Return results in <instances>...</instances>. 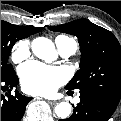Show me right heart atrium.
Masks as SVG:
<instances>
[{
  "label": "right heart atrium",
  "mask_w": 121,
  "mask_h": 121,
  "mask_svg": "<svg viewBox=\"0 0 121 121\" xmlns=\"http://www.w3.org/2000/svg\"><path fill=\"white\" fill-rule=\"evenodd\" d=\"M30 44L27 40H20L15 43L12 50V60L15 63H19L30 55Z\"/></svg>",
  "instance_id": "d8ad5b80"
}]
</instances>
